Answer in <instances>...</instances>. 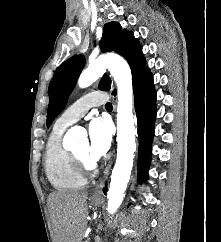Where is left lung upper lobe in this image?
I'll return each mask as SVG.
<instances>
[{"instance_id": "left-lung-upper-lobe-1", "label": "left lung upper lobe", "mask_w": 221, "mask_h": 242, "mask_svg": "<svg viewBox=\"0 0 221 242\" xmlns=\"http://www.w3.org/2000/svg\"><path fill=\"white\" fill-rule=\"evenodd\" d=\"M102 52L115 51L123 56L129 63L132 75L145 67L140 43L132 32L122 30L117 22L105 24L100 41ZM83 55H75L62 63L56 70L49 85V106L47 115V126L65 107L69 94L71 93L81 71L84 67ZM111 80L103 76L99 83V89L107 91L110 89Z\"/></svg>"}]
</instances>
